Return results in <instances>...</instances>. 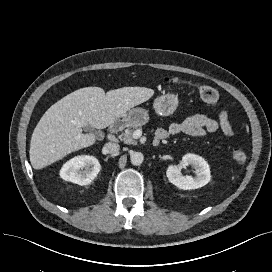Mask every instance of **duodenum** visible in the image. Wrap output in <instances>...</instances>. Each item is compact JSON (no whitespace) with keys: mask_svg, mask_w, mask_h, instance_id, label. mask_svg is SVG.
I'll return each mask as SVG.
<instances>
[{"mask_svg":"<svg viewBox=\"0 0 272 272\" xmlns=\"http://www.w3.org/2000/svg\"><path fill=\"white\" fill-rule=\"evenodd\" d=\"M121 126L119 121H114L109 127V134L113 135ZM161 145V140L159 138H155L153 141L154 147H159Z\"/></svg>","mask_w":272,"mask_h":272,"instance_id":"duodenum-1","label":"duodenum"}]
</instances>
